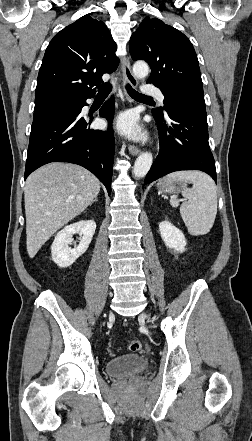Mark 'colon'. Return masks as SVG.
<instances>
[{
	"mask_svg": "<svg viewBox=\"0 0 252 441\" xmlns=\"http://www.w3.org/2000/svg\"><path fill=\"white\" fill-rule=\"evenodd\" d=\"M128 348L132 352H138L142 349V343L139 340H132L129 343Z\"/></svg>",
	"mask_w": 252,
	"mask_h": 441,
	"instance_id": "colon-1",
	"label": "colon"
}]
</instances>
